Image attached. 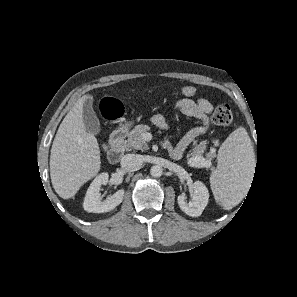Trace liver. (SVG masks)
Returning a JSON list of instances; mask_svg holds the SVG:
<instances>
[{
	"mask_svg": "<svg viewBox=\"0 0 297 297\" xmlns=\"http://www.w3.org/2000/svg\"><path fill=\"white\" fill-rule=\"evenodd\" d=\"M91 96H82L67 113L54 138L50 155V176L56 193L72 198L80 187L98 174L100 148L94 134L87 132L83 106Z\"/></svg>",
	"mask_w": 297,
	"mask_h": 297,
	"instance_id": "liver-1",
	"label": "liver"
}]
</instances>
